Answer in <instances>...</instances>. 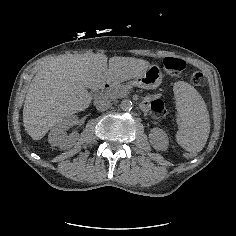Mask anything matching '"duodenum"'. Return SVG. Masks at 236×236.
<instances>
[{"label": "duodenum", "instance_id": "1", "mask_svg": "<svg viewBox=\"0 0 236 236\" xmlns=\"http://www.w3.org/2000/svg\"><path fill=\"white\" fill-rule=\"evenodd\" d=\"M112 87H113L112 83L101 82V84L99 85V88L96 89V92H103V91L111 89Z\"/></svg>", "mask_w": 236, "mask_h": 236}]
</instances>
